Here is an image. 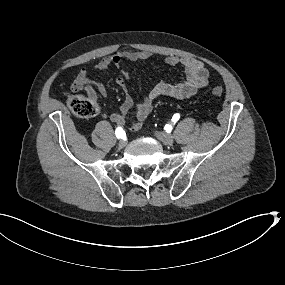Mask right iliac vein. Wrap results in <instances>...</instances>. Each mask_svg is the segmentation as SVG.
Instances as JSON below:
<instances>
[{
    "instance_id": "63e3f726",
    "label": "right iliac vein",
    "mask_w": 285,
    "mask_h": 285,
    "mask_svg": "<svg viewBox=\"0 0 285 285\" xmlns=\"http://www.w3.org/2000/svg\"><path fill=\"white\" fill-rule=\"evenodd\" d=\"M126 145H127V141H125V140H121V141L118 143V147H119L120 149L124 148Z\"/></svg>"
}]
</instances>
